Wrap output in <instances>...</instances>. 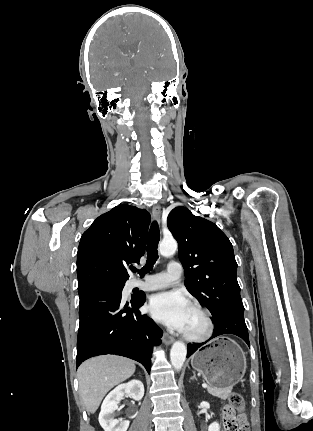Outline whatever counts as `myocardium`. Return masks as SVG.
I'll return each mask as SVG.
<instances>
[{
  "label": "myocardium",
  "mask_w": 313,
  "mask_h": 431,
  "mask_svg": "<svg viewBox=\"0 0 313 431\" xmlns=\"http://www.w3.org/2000/svg\"><path fill=\"white\" fill-rule=\"evenodd\" d=\"M191 308L201 313V315L204 317L206 322V329L202 334L198 335H192L183 332L182 337L189 342H204L211 338L215 331V322L213 316L208 309H206L199 303H192Z\"/></svg>",
  "instance_id": "1"
}]
</instances>
